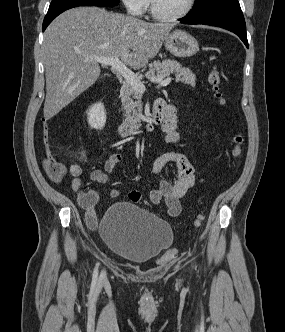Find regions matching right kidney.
Returning <instances> with one entry per match:
<instances>
[{
    "instance_id": "right-kidney-1",
    "label": "right kidney",
    "mask_w": 285,
    "mask_h": 332,
    "mask_svg": "<svg viewBox=\"0 0 285 332\" xmlns=\"http://www.w3.org/2000/svg\"><path fill=\"white\" fill-rule=\"evenodd\" d=\"M88 123L91 128L101 129L106 123V112L102 103H96L90 107L88 113Z\"/></svg>"
}]
</instances>
